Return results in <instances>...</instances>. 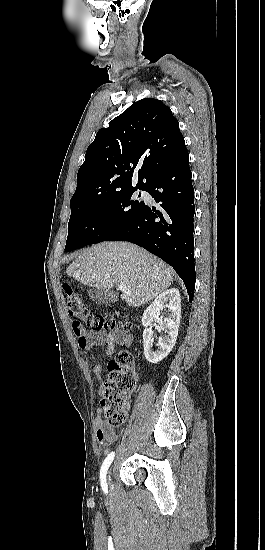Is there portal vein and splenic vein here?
Listing matches in <instances>:
<instances>
[{"instance_id":"obj_1","label":"portal vein and splenic vein","mask_w":265,"mask_h":550,"mask_svg":"<svg viewBox=\"0 0 265 550\" xmlns=\"http://www.w3.org/2000/svg\"><path fill=\"white\" fill-rule=\"evenodd\" d=\"M118 289L122 292H129L124 284H118Z\"/></svg>"}]
</instances>
